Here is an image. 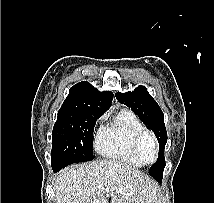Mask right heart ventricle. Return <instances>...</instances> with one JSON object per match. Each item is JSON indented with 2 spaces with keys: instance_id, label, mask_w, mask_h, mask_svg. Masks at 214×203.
<instances>
[{
  "instance_id": "obj_1",
  "label": "right heart ventricle",
  "mask_w": 214,
  "mask_h": 203,
  "mask_svg": "<svg viewBox=\"0 0 214 203\" xmlns=\"http://www.w3.org/2000/svg\"><path fill=\"white\" fill-rule=\"evenodd\" d=\"M143 130L145 127L139 118L130 110L122 109L99 129L95 140L96 150L106 158L141 167L144 164L134 153L133 141Z\"/></svg>"
}]
</instances>
